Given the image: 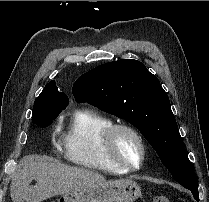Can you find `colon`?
Here are the masks:
<instances>
[{
	"label": "colon",
	"mask_w": 209,
	"mask_h": 202,
	"mask_svg": "<svg viewBox=\"0 0 209 202\" xmlns=\"http://www.w3.org/2000/svg\"><path fill=\"white\" fill-rule=\"evenodd\" d=\"M152 202H172L168 197L160 196L153 199Z\"/></svg>",
	"instance_id": "obj_1"
}]
</instances>
